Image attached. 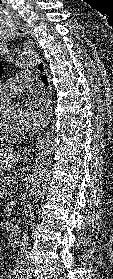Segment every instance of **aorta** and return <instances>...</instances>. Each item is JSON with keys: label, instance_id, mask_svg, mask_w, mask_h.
Wrapping results in <instances>:
<instances>
[{"label": "aorta", "instance_id": "1", "mask_svg": "<svg viewBox=\"0 0 113 279\" xmlns=\"http://www.w3.org/2000/svg\"><path fill=\"white\" fill-rule=\"evenodd\" d=\"M37 58L35 50L22 52L17 60L21 68L33 67ZM37 159L33 174L30 180L29 194L33 202L37 203L45 194L51 177L52 153L54 149L53 136L50 133L44 134L38 141Z\"/></svg>", "mask_w": 113, "mask_h": 279}]
</instances>
